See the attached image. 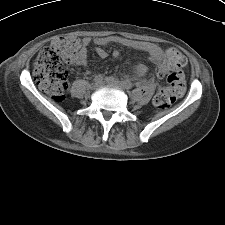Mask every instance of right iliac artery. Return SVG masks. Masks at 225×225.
<instances>
[{
  "instance_id": "obj_1",
  "label": "right iliac artery",
  "mask_w": 225,
  "mask_h": 225,
  "mask_svg": "<svg viewBox=\"0 0 225 225\" xmlns=\"http://www.w3.org/2000/svg\"><path fill=\"white\" fill-rule=\"evenodd\" d=\"M103 78H104V76H103L102 74H98V75L95 77L94 81H95V82H102Z\"/></svg>"
}]
</instances>
